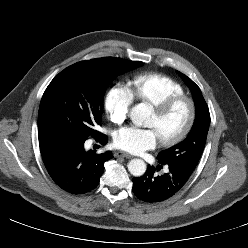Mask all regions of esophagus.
Here are the masks:
<instances>
[{
	"label": "esophagus",
	"mask_w": 248,
	"mask_h": 248,
	"mask_svg": "<svg viewBox=\"0 0 248 248\" xmlns=\"http://www.w3.org/2000/svg\"><path fill=\"white\" fill-rule=\"evenodd\" d=\"M114 156L115 157H123V158H127V159L132 158V155L131 154L126 153V152H122V151L115 152L114 153Z\"/></svg>",
	"instance_id": "obj_1"
}]
</instances>
